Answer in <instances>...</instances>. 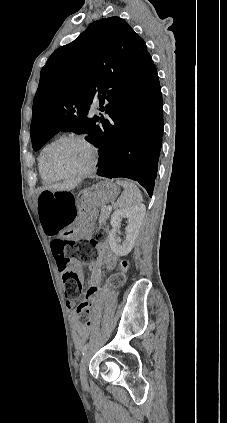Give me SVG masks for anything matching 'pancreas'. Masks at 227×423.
Returning <instances> with one entry per match:
<instances>
[{"mask_svg":"<svg viewBox=\"0 0 227 423\" xmlns=\"http://www.w3.org/2000/svg\"><path fill=\"white\" fill-rule=\"evenodd\" d=\"M109 213H110V211L106 210V206H101L99 223H102V221H104L105 217H108Z\"/></svg>","mask_w":227,"mask_h":423,"instance_id":"obj_1","label":"pancreas"}]
</instances>
